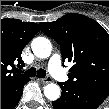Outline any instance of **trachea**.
Masks as SVG:
<instances>
[{
	"label": "trachea",
	"mask_w": 109,
	"mask_h": 109,
	"mask_svg": "<svg viewBox=\"0 0 109 109\" xmlns=\"http://www.w3.org/2000/svg\"><path fill=\"white\" fill-rule=\"evenodd\" d=\"M25 74L29 77H34L35 75L38 78L46 77V71L42 68H40L39 70H36V68L32 67V68L28 69L27 71H25Z\"/></svg>",
	"instance_id": "3493384b"
}]
</instances>
